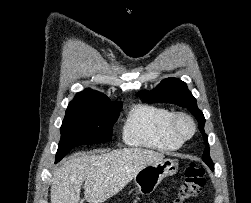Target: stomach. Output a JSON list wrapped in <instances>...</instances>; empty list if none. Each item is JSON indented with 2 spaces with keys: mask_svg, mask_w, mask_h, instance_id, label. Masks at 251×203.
<instances>
[{
  "mask_svg": "<svg viewBox=\"0 0 251 203\" xmlns=\"http://www.w3.org/2000/svg\"><path fill=\"white\" fill-rule=\"evenodd\" d=\"M178 163L174 159H164L141 169L134 177L137 190L141 194H150L166 176L176 174Z\"/></svg>",
  "mask_w": 251,
  "mask_h": 203,
  "instance_id": "0dacf381",
  "label": "stomach"
}]
</instances>
